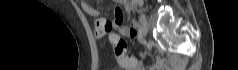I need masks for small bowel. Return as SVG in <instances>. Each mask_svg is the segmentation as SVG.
Masks as SVG:
<instances>
[{
    "label": "small bowel",
    "mask_w": 238,
    "mask_h": 70,
    "mask_svg": "<svg viewBox=\"0 0 238 70\" xmlns=\"http://www.w3.org/2000/svg\"><path fill=\"white\" fill-rule=\"evenodd\" d=\"M80 5L83 11L91 16L96 18L95 20V34L98 37L104 36L106 33H109L114 27L118 30L120 35L122 33H130V30L123 26V13L120 8H116L114 11V21L110 22L107 19V14H102L95 8H93L88 1L80 0Z\"/></svg>",
    "instance_id": "1"
}]
</instances>
